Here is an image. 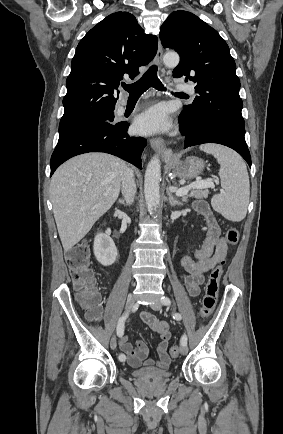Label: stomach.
<instances>
[{
    "instance_id": "1",
    "label": "stomach",
    "mask_w": 283,
    "mask_h": 434,
    "mask_svg": "<svg viewBox=\"0 0 283 434\" xmlns=\"http://www.w3.org/2000/svg\"><path fill=\"white\" fill-rule=\"evenodd\" d=\"M204 169V162L197 157H188L175 165L174 173L182 179H193Z\"/></svg>"
}]
</instances>
